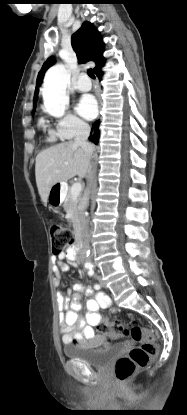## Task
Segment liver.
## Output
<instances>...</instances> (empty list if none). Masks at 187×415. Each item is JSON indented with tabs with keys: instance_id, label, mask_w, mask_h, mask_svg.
<instances>
[{
	"instance_id": "liver-1",
	"label": "liver",
	"mask_w": 187,
	"mask_h": 415,
	"mask_svg": "<svg viewBox=\"0 0 187 415\" xmlns=\"http://www.w3.org/2000/svg\"><path fill=\"white\" fill-rule=\"evenodd\" d=\"M89 163L90 157L73 141L41 151L36 157L35 177L44 205L47 204L53 185L65 182L76 175L84 178L89 171Z\"/></svg>"
}]
</instances>
